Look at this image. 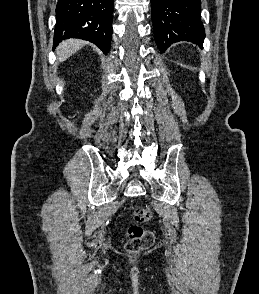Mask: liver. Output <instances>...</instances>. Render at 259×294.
Returning <instances> with one entry per match:
<instances>
[{"mask_svg": "<svg viewBox=\"0 0 259 294\" xmlns=\"http://www.w3.org/2000/svg\"><path fill=\"white\" fill-rule=\"evenodd\" d=\"M85 45V41L78 39H69L59 44L56 49L58 61L63 62L68 59L76 51L80 50Z\"/></svg>", "mask_w": 259, "mask_h": 294, "instance_id": "obj_1", "label": "liver"}]
</instances>
